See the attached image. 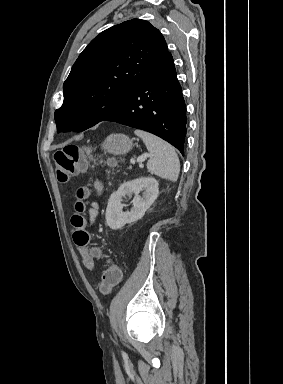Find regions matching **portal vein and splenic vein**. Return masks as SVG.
Masks as SVG:
<instances>
[{"label": "portal vein and splenic vein", "instance_id": "portal-vein-and-splenic-vein-1", "mask_svg": "<svg viewBox=\"0 0 283 384\" xmlns=\"http://www.w3.org/2000/svg\"><path fill=\"white\" fill-rule=\"evenodd\" d=\"M153 154H142V156H140V158H137V162H144V160H146V158H152ZM131 164H135L136 160H134V158H132V160H130ZM140 168H142V164H140Z\"/></svg>", "mask_w": 283, "mask_h": 384}]
</instances>
